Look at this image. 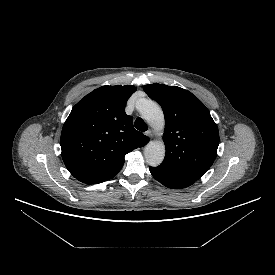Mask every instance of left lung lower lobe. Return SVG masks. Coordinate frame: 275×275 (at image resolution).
<instances>
[{
  "instance_id": "0a47b994",
  "label": "left lung lower lobe",
  "mask_w": 275,
  "mask_h": 275,
  "mask_svg": "<svg viewBox=\"0 0 275 275\" xmlns=\"http://www.w3.org/2000/svg\"><path fill=\"white\" fill-rule=\"evenodd\" d=\"M153 177L168 188L182 189L192 185L196 180L193 178L172 171L162 166L150 167Z\"/></svg>"
}]
</instances>
